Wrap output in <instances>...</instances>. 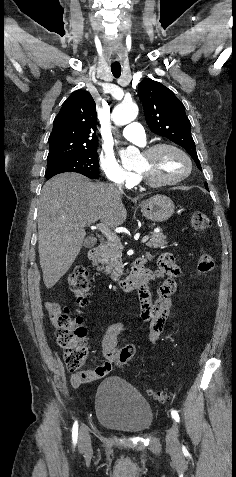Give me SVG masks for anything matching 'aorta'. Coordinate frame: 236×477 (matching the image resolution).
Returning a JSON list of instances; mask_svg holds the SVG:
<instances>
[{
	"mask_svg": "<svg viewBox=\"0 0 236 477\" xmlns=\"http://www.w3.org/2000/svg\"><path fill=\"white\" fill-rule=\"evenodd\" d=\"M138 115V106L133 103L123 102L116 106L113 111V120L116 125L122 126L132 122ZM138 153V150L134 147H128L120 151V157L122 162L130 160L134 155Z\"/></svg>",
	"mask_w": 236,
	"mask_h": 477,
	"instance_id": "obj_1",
	"label": "aorta"
}]
</instances>
